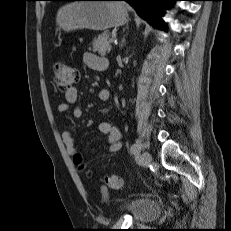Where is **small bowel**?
Here are the masks:
<instances>
[{
  "label": "small bowel",
  "instance_id": "small-bowel-1",
  "mask_svg": "<svg viewBox=\"0 0 231 231\" xmlns=\"http://www.w3.org/2000/svg\"><path fill=\"white\" fill-rule=\"evenodd\" d=\"M84 63L93 70H99L100 66L107 64V60L93 53H85L83 57ZM101 71V70H99ZM65 102H61L57 106L59 113H66L70 109L71 104H75L78 100V90L76 87H71L64 93ZM98 98L101 102H108L110 99L109 90L103 89L98 93ZM72 115L76 119L83 117V110L76 106L72 110ZM102 134L107 135L109 151L117 152L122 148V134L118 127L108 122H101L98 126ZM62 141L70 154L77 151L75 137L72 131L66 130L62 133Z\"/></svg>",
  "mask_w": 231,
  "mask_h": 231
}]
</instances>
